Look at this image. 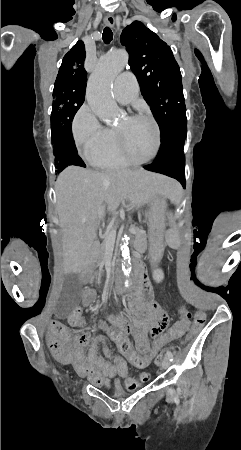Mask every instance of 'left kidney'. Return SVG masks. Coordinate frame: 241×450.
Returning a JSON list of instances; mask_svg holds the SVG:
<instances>
[{"mask_svg": "<svg viewBox=\"0 0 241 450\" xmlns=\"http://www.w3.org/2000/svg\"><path fill=\"white\" fill-rule=\"evenodd\" d=\"M163 278H164V274H163L162 270H154L153 280H155V282H161V280H163Z\"/></svg>", "mask_w": 241, "mask_h": 450, "instance_id": "5707ae66", "label": "left kidney"}]
</instances>
